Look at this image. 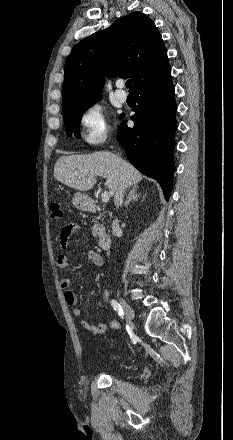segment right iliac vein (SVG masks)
Segmentation results:
<instances>
[{
    "instance_id": "obj_1",
    "label": "right iliac vein",
    "mask_w": 233,
    "mask_h": 440,
    "mask_svg": "<svg viewBox=\"0 0 233 440\" xmlns=\"http://www.w3.org/2000/svg\"><path fill=\"white\" fill-rule=\"evenodd\" d=\"M120 304H121V306L123 308L124 315H125L127 321L129 323H132L133 320H134V311H133V309L130 307V305L123 298H120Z\"/></svg>"
}]
</instances>
